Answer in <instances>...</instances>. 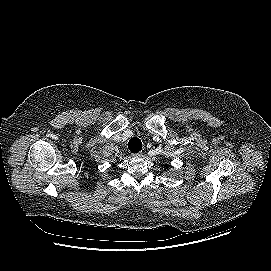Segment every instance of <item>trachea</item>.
<instances>
[{
	"label": "trachea",
	"mask_w": 271,
	"mask_h": 271,
	"mask_svg": "<svg viewBox=\"0 0 271 271\" xmlns=\"http://www.w3.org/2000/svg\"><path fill=\"white\" fill-rule=\"evenodd\" d=\"M128 149L133 153H137V152L141 151V149H142L141 140L136 137L130 139L128 142Z\"/></svg>",
	"instance_id": "3493384b"
}]
</instances>
